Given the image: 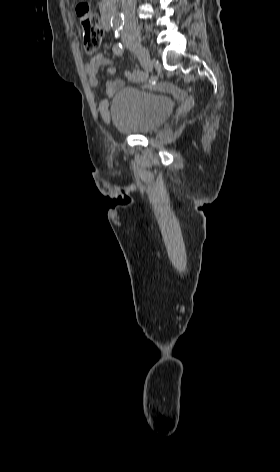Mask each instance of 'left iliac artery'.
Here are the masks:
<instances>
[{"instance_id": "44dca946", "label": "left iliac artery", "mask_w": 280, "mask_h": 472, "mask_svg": "<svg viewBox=\"0 0 280 472\" xmlns=\"http://www.w3.org/2000/svg\"><path fill=\"white\" fill-rule=\"evenodd\" d=\"M119 30H120V29H118V30H115V37H116V38H118V37H119V35H120V34H119Z\"/></svg>"}]
</instances>
